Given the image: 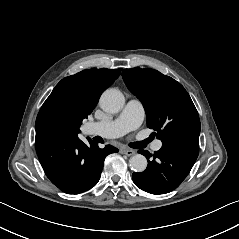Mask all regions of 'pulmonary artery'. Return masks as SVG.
Here are the masks:
<instances>
[{
  "label": "pulmonary artery",
  "mask_w": 239,
  "mask_h": 239,
  "mask_svg": "<svg viewBox=\"0 0 239 239\" xmlns=\"http://www.w3.org/2000/svg\"><path fill=\"white\" fill-rule=\"evenodd\" d=\"M144 119V108L140 100L130 98L125 105L120 115L108 121H93L85 126L87 135H92L98 128H106L115 133V137L123 136L124 134L137 129ZM162 147L161 140L154 143L153 149L160 150Z\"/></svg>",
  "instance_id": "obj_1"
}]
</instances>
